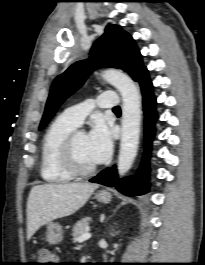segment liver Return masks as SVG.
I'll return each instance as SVG.
<instances>
[{"instance_id":"obj_1","label":"liver","mask_w":205,"mask_h":265,"mask_svg":"<svg viewBox=\"0 0 205 265\" xmlns=\"http://www.w3.org/2000/svg\"><path fill=\"white\" fill-rule=\"evenodd\" d=\"M97 188L98 184L90 183L34 186L27 200V239L43 225L74 214Z\"/></svg>"}]
</instances>
